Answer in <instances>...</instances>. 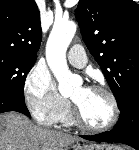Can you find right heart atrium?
<instances>
[{
  "label": "right heart atrium",
  "instance_id": "obj_1",
  "mask_svg": "<svg viewBox=\"0 0 139 150\" xmlns=\"http://www.w3.org/2000/svg\"><path fill=\"white\" fill-rule=\"evenodd\" d=\"M26 106L41 125L57 123L69 109V101L57 91L49 73L40 66L33 67L24 82Z\"/></svg>",
  "mask_w": 139,
  "mask_h": 150
}]
</instances>
